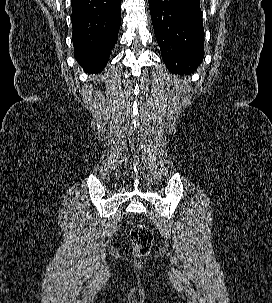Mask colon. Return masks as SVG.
Masks as SVG:
<instances>
[{
  "label": "colon",
  "instance_id": "1",
  "mask_svg": "<svg viewBox=\"0 0 272 303\" xmlns=\"http://www.w3.org/2000/svg\"><path fill=\"white\" fill-rule=\"evenodd\" d=\"M130 238L137 256L144 257L149 253L153 243V233L148 227L134 225L130 231Z\"/></svg>",
  "mask_w": 272,
  "mask_h": 303
}]
</instances>
